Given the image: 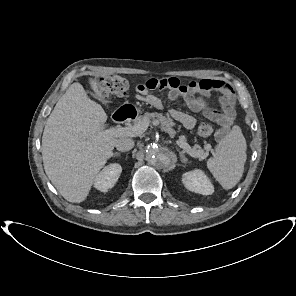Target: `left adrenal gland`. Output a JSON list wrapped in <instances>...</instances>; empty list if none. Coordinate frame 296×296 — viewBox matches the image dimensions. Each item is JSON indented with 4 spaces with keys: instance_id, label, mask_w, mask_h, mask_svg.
I'll return each instance as SVG.
<instances>
[{
    "instance_id": "a2214340",
    "label": "left adrenal gland",
    "mask_w": 296,
    "mask_h": 296,
    "mask_svg": "<svg viewBox=\"0 0 296 296\" xmlns=\"http://www.w3.org/2000/svg\"><path fill=\"white\" fill-rule=\"evenodd\" d=\"M179 151V150H178ZM179 156H180V159L183 163H186L187 162V158L185 157L184 155V152L183 151H179Z\"/></svg>"
}]
</instances>
